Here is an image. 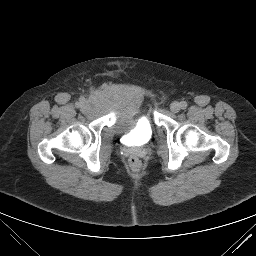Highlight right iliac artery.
I'll return each mask as SVG.
<instances>
[{"label":"right iliac artery","instance_id":"82829eb1","mask_svg":"<svg viewBox=\"0 0 256 256\" xmlns=\"http://www.w3.org/2000/svg\"><path fill=\"white\" fill-rule=\"evenodd\" d=\"M83 101H84V98H80L79 102L76 103V107L80 108Z\"/></svg>","mask_w":256,"mask_h":256}]
</instances>
